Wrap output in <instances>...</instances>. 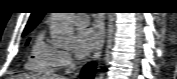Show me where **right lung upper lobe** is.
Listing matches in <instances>:
<instances>
[{
	"instance_id": "1",
	"label": "right lung upper lobe",
	"mask_w": 177,
	"mask_h": 79,
	"mask_svg": "<svg viewBox=\"0 0 177 79\" xmlns=\"http://www.w3.org/2000/svg\"><path fill=\"white\" fill-rule=\"evenodd\" d=\"M45 11H35L31 14L30 19L26 25V28L29 27H35L40 20L42 19V17L44 16Z\"/></svg>"
}]
</instances>
